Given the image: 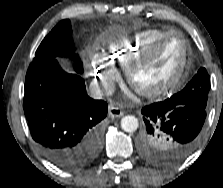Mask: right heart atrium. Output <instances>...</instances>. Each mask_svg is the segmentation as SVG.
<instances>
[{
	"label": "right heart atrium",
	"mask_w": 223,
	"mask_h": 188,
	"mask_svg": "<svg viewBox=\"0 0 223 188\" xmlns=\"http://www.w3.org/2000/svg\"><path fill=\"white\" fill-rule=\"evenodd\" d=\"M90 67L93 80L104 93L112 90L114 81L117 78V71L114 66L99 53H94L91 58Z\"/></svg>",
	"instance_id": "obj_1"
}]
</instances>
